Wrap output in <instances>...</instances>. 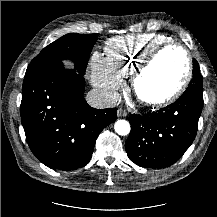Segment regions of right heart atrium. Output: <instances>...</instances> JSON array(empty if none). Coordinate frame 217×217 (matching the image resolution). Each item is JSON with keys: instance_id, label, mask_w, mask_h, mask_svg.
Segmentation results:
<instances>
[{"instance_id": "d8ad5b80", "label": "right heart atrium", "mask_w": 217, "mask_h": 217, "mask_svg": "<svg viewBox=\"0 0 217 217\" xmlns=\"http://www.w3.org/2000/svg\"><path fill=\"white\" fill-rule=\"evenodd\" d=\"M90 65L92 84L107 100L114 101L123 85L121 78L109 68L106 59L97 51L92 54Z\"/></svg>"}]
</instances>
